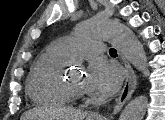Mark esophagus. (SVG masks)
I'll list each match as a JSON object with an SVG mask.
<instances>
[{
	"mask_svg": "<svg viewBox=\"0 0 165 120\" xmlns=\"http://www.w3.org/2000/svg\"><path fill=\"white\" fill-rule=\"evenodd\" d=\"M121 58L127 70V77H126L124 86L117 99V104L113 110V114H117L122 109L124 104L130 99L137 85V77L133 68L124 57H121ZM96 117L98 116L96 115Z\"/></svg>",
	"mask_w": 165,
	"mask_h": 120,
	"instance_id": "1",
	"label": "esophagus"
}]
</instances>
